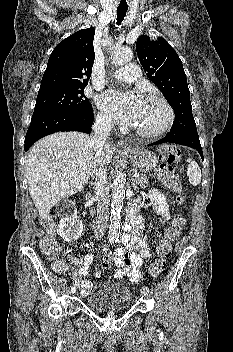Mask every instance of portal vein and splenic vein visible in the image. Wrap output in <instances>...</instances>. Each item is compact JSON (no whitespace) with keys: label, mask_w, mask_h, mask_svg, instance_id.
<instances>
[{"label":"portal vein and splenic vein","mask_w":233,"mask_h":352,"mask_svg":"<svg viewBox=\"0 0 233 352\" xmlns=\"http://www.w3.org/2000/svg\"><path fill=\"white\" fill-rule=\"evenodd\" d=\"M134 177H135V178L139 177V173L136 172V173L134 174Z\"/></svg>","instance_id":"obj_1"}]
</instances>
